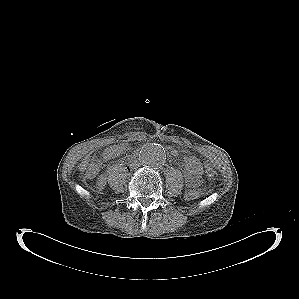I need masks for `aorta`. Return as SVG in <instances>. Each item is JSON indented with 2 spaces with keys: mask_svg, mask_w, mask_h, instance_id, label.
<instances>
[{
  "mask_svg": "<svg viewBox=\"0 0 299 299\" xmlns=\"http://www.w3.org/2000/svg\"><path fill=\"white\" fill-rule=\"evenodd\" d=\"M139 157L144 166L156 169L163 165L166 154L164 148L159 144L148 143L140 149Z\"/></svg>",
  "mask_w": 299,
  "mask_h": 299,
  "instance_id": "762f6f07",
  "label": "aorta"
}]
</instances>
